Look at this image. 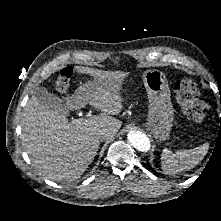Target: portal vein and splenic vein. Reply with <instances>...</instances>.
I'll return each mask as SVG.
<instances>
[{
  "label": "portal vein and splenic vein",
  "mask_w": 221,
  "mask_h": 221,
  "mask_svg": "<svg viewBox=\"0 0 221 221\" xmlns=\"http://www.w3.org/2000/svg\"><path fill=\"white\" fill-rule=\"evenodd\" d=\"M86 116H87V117H91L92 115H91V113L89 112Z\"/></svg>",
  "instance_id": "18ae733b"
}]
</instances>
